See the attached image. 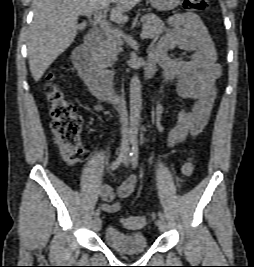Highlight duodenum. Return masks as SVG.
<instances>
[{
	"mask_svg": "<svg viewBox=\"0 0 254 267\" xmlns=\"http://www.w3.org/2000/svg\"><path fill=\"white\" fill-rule=\"evenodd\" d=\"M101 37L97 31H90L84 43L73 52V63L81 77L89 85L93 94L104 101H112L116 93L112 88V74L102 69L95 61L94 55L101 46ZM155 71V61L148 57L142 67L144 77L151 76Z\"/></svg>",
	"mask_w": 254,
	"mask_h": 267,
	"instance_id": "duodenum-1",
	"label": "duodenum"
}]
</instances>
